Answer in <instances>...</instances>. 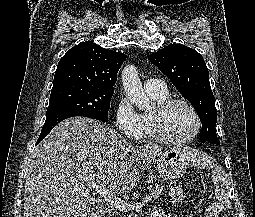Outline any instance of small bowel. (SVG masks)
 <instances>
[{
    "label": "small bowel",
    "mask_w": 255,
    "mask_h": 217,
    "mask_svg": "<svg viewBox=\"0 0 255 217\" xmlns=\"http://www.w3.org/2000/svg\"><path fill=\"white\" fill-rule=\"evenodd\" d=\"M220 211H222V206L216 205V204H212L211 206H209V208L207 210L206 217H216V215ZM151 217H172V216L169 215V214L164 213L159 208H154L153 211H152Z\"/></svg>",
    "instance_id": "small-bowel-1"
}]
</instances>
